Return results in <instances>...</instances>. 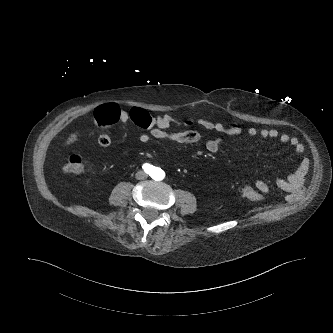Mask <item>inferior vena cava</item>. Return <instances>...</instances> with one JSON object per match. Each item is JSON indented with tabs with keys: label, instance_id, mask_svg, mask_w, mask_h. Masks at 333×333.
<instances>
[{
	"label": "inferior vena cava",
	"instance_id": "1",
	"mask_svg": "<svg viewBox=\"0 0 333 333\" xmlns=\"http://www.w3.org/2000/svg\"><path fill=\"white\" fill-rule=\"evenodd\" d=\"M147 177H148V175L143 171H139L135 175V178L138 180H143V179H146Z\"/></svg>",
	"mask_w": 333,
	"mask_h": 333
}]
</instances>
